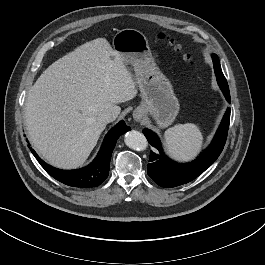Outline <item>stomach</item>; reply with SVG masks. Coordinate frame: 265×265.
Listing matches in <instances>:
<instances>
[{
	"mask_svg": "<svg viewBox=\"0 0 265 265\" xmlns=\"http://www.w3.org/2000/svg\"><path fill=\"white\" fill-rule=\"evenodd\" d=\"M112 45L124 63L133 66L142 97L136 110L151 115L160 128L171 125L179 102L170 81L157 67L145 35L136 29H123L116 33Z\"/></svg>",
	"mask_w": 265,
	"mask_h": 265,
	"instance_id": "obj_1",
	"label": "stomach"
}]
</instances>
